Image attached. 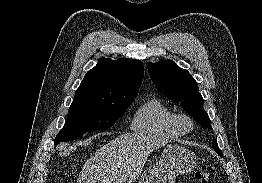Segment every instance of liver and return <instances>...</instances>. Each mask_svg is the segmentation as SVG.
<instances>
[{
    "instance_id": "1",
    "label": "liver",
    "mask_w": 262,
    "mask_h": 183,
    "mask_svg": "<svg viewBox=\"0 0 262 183\" xmlns=\"http://www.w3.org/2000/svg\"><path fill=\"white\" fill-rule=\"evenodd\" d=\"M169 140L144 133H125L97 150L83 165L79 183H134L151 151Z\"/></svg>"
}]
</instances>
